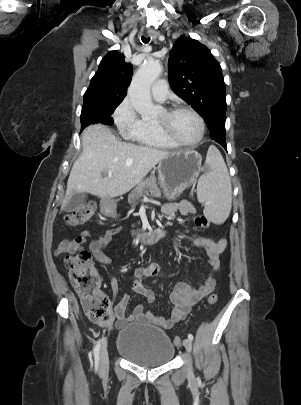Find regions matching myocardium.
<instances>
[{"instance_id":"obj_1","label":"myocardium","mask_w":301,"mask_h":405,"mask_svg":"<svg viewBox=\"0 0 301 405\" xmlns=\"http://www.w3.org/2000/svg\"><path fill=\"white\" fill-rule=\"evenodd\" d=\"M181 111H187L191 113L192 115L195 116L199 123V135L196 138V140L192 142H184L180 139H178L169 129L168 126V121L171 116L174 114L181 112ZM164 119L162 121H156L155 127L157 131L160 133L162 137H164L166 140L170 141L171 143L175 144L176 146L180 147H195L197 146L202 139L204 138L205 135V122L203 117L192 107L185 106V105H178L172 108H168L164 110Z\"/></svg>"}]
</instances>
